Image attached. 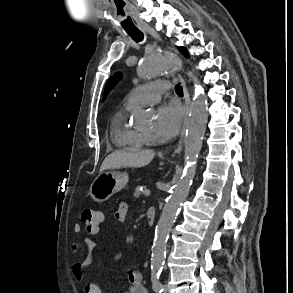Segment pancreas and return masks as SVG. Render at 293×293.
Segmentation results:
<instances>
[{
    "label": "pancreas",
    "mask_w": 293,
    "mask_h": 293,
    "mask_svg": "<svg viewBox=\"0 0 293 293\" xmlns=\"http://www.w3.org/2000/svg\"><path fill=\"white\" fill-rule=\"evenodd\" d=\"M141 195H142V193L140 192V186H137V187L135 188V192H134L133 196H134L135 198H140Z\"/></svg>",
    "instance_id": "pancreas-1"
}]
</instances>
